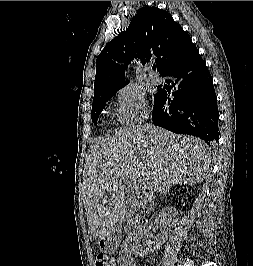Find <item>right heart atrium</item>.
<instances>
[{
  "mask_svg": "<svg viewBox=\"0 0 253 266\" xmlns=\"http://www.w3.org/2000/svg\"><path fill=\"white\" fill-rule=\"evenodd\" d=\"M117 102L119 119L124 124L141 121L148 116L149 103L146 93L134 84L120 88Z\"/></svg>",
  "mask_w": 253,
  "mask_h": 266,
  "instance_id": "right-heart-atrium-1",
  "label": "right heart atrium"
}]
</instances>
